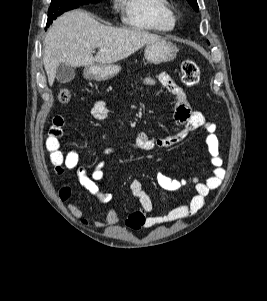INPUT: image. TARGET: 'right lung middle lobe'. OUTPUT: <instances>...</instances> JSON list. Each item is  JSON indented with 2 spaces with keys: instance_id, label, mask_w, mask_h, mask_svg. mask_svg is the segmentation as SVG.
I'll return each mask as SVG.
<instances>
[{
  "instance_id": "dd1d6c3e",
  "label": "right lung middle lobe",
  "mask_w": 267,
  "mask_h": 301,
  "mask_svg": "<svg viewBox=\"0 0 267 301\" xmlns=\"http://www.w3.org/2000/svg\"><path fill=\"white\" fill-rule=\"evenodd\" d=\"M101 0H52L48 10L47 26L62 13L75 9L82 4L97 3Z\"/></svg>"
}]
</instances>
